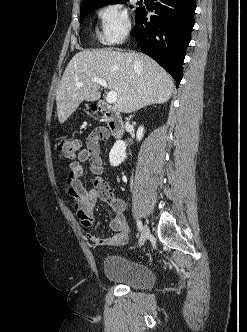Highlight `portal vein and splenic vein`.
<instances>
[{
	"label": "portal vein and splenic vein",
	"instance_id": "1",
	"mask_svg": "<svg viewBox=\"0 0 247 332\" xmlns=\"http://www.w3.org/2000/svg\"><path fill=\"white\" fill-rule=\"evenodd\" d=\"M92 81L97 84H100L101 86H103L105 88L108 87L107 82L101 78H94ZM81 86H83V83L78 84V87H81ZM116 100H117V93L113 90L109 91L107 93L106 101L110 104H113L116 102Z\"/></svg>",
	"mask_w": 247,
	"mask_h": 332
}]
</instances>
